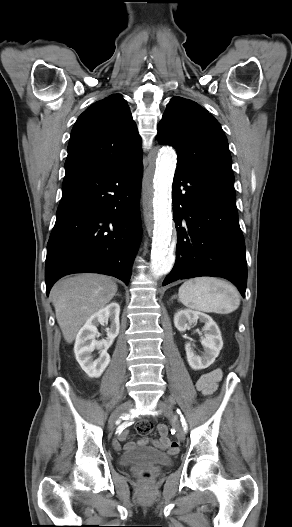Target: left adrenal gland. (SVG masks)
<instances>
[{
  "mask_svg": "<svg viewBox=\"0 0 292 527\" xmlns=\"http://www.w3.org/2000/svg\"><path fill=\"white\" fill-rule=\"evenodd\" d=\"M176 298H177V295H174V296L171 298V300L176 299Z\"/></svg>",
  "mask_w": 292,
  "mask_h": 527,
  "instance_id": "1",
  "label": "left adrenal gland"
}]
</instances>
